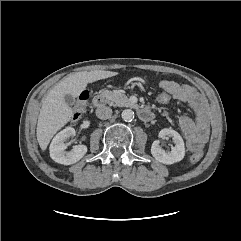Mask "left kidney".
Here are the masks:
<instances>
[{
    "instance_id": "5707ae66",
    "label": "left kidney",
    "mask_w": 241,
    "mask_h": 241,
    "mask_svg": "<svg viewBox=\"0 0 241 241\" xmlns=\"http://www.w3.org/2000/svg\"><path fill=\"white\" fill-rule=\"evenodd\" d=\"M159 137H171L175 146L171 148V151H165L159 145V140H155L151 146V154L157 161L169 165L179 162L184 158V141L178 132L171 128H164L159 132Z\"/></svg>"
}]
</instances>
